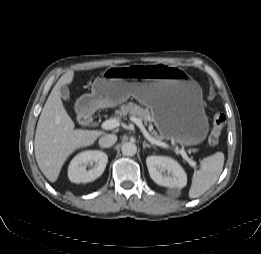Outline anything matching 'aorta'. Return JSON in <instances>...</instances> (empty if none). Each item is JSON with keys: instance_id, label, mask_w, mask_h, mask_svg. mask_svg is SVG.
I'll list each match as a JSON object with an SVG mask.
<instances>
[{"instance_id": "762f6f07", "label": "aorta", "mask_w": 261, "mask_h": 254, "mask_svg": "<svg viewBox=\"0 0 261 254\" xmlns=\"http://www.w3.org/2000/svg\"><path fill=\"white\" fill-rule=\"evenodd\" d=\"M121 151L125 156H134L137 152V146L132 142H126L122 145Z\"/></svg>"}]
</instances>
